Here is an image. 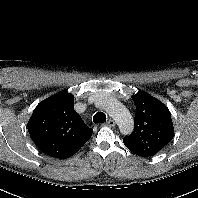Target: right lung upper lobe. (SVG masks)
Listing matches in <instances>:
<instances>
[{"label": "right lung upper lobe", "instance_id": "cb5924a9", "mask_svg": "<svg viewBox=\"0 0 198 198\" xmlns=\"http://www.w3.org/2000/svg\"><path fill=\"white\" fill-rule=\"evenodd\" d=\"M28 131L42 152L59 159L78 152L93 133L75 112L74 96L67 91L38 104L28 122Z\"/></svg>", "mask_w": 198, "mask_h": 198}]
</instances>
